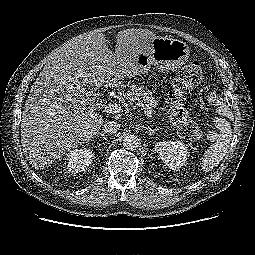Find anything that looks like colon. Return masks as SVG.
<instances>
[{
  "instance_id": "1",
  "label": "colon",
  "mask_w": 255,
  "mask_h": 255,
  "mask_svg": "<svg viewBox=\"0 0 255 255\" xmlns=\"http://www.w3.org/2000/svg\"><path fill=\"white\" fill-rule=\"evenodd\" d=\"M203 77L202 67L199 62L194 61L183 67L173 82V89L169 95L170 120L177 127L179 133L186 138L201 141L204 138L202 129L193 121L189 120L185 108V94L191 88L199 84ZM208 102L217 105L220 96L212 91L208 95Z\"/></svg>"
}]
</instances>
